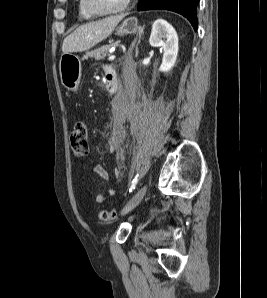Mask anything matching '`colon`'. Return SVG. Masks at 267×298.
Listing matches in <instances>:
<instances>
[{"label":"colon","mask_w":267,"mask_h":298,"mask_svg":"<svg viewBox=\"0 0 267 298\" xmlns=\"http://www.w3.org/2000/svg\"><path fill=\"white\" fill-rule=\"evenodd\" d=\"M70 144L73 152L78 157H84L89 152V132L88 126L85 122H78L71 134ZM117 214L115 211L103 210L100 212V219L104 222H111L115 220Z\"/></svg>","instance_id":"obj_1"}]
</instances>
